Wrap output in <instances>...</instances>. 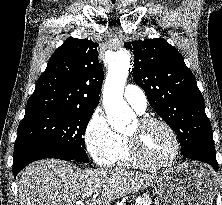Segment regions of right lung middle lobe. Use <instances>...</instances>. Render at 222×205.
<instances>
[{
  "label": "right lung middle lobe",
  "mask_w": 222,
  "mask_h": 205,
  "mask_svg": "<svg viewBox=\"0 0 222 205\" xmlns=\"http://www.w3.org/2000/svg\"><path fill=\"white\" fill-rule=\"evenodd\" d=\"M94 110L51 109L25 114L15 147L41 144L63 151L78 162L89 161L83 135Z\"/></svg>",
  "instance_id": "obj_1"
}]
</instances>
